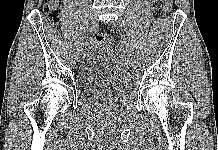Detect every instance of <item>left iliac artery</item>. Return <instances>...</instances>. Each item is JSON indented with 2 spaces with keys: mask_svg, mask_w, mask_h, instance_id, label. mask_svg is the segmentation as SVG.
Here are the masks:
<instances>
[{
  "mask_svg": "<svg viewBox=\"0 0 218 150\" xmlns=\"http://www.w3.org/2000/svg\"><path fill=\"white\" fill-rule=\"evenodd\" d=\"M125 33L127 34V37H126V45L128 46L127 52L130 53L128 56L131 58L133 56L132 54L134 53L133 51L134 47L130 45L134 44L135 39L133 38L132 32L130 30L129 31L127 30Z\"/></svg>",
  "mask_w": 218,
  "mask_h": 150,
  "instance_id": "1",
  "label": "left iliac artery"
}]
</instances>
